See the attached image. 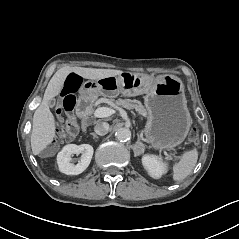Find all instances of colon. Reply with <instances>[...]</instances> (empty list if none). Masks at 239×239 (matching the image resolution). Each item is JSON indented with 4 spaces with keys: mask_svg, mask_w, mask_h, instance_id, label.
<instances>
[{
    "mask_svg": "<svg viewBox=\"0 0 239 239\" xmlns=\"http://www.w3.org/2000/svg\"><path fill=\"white\" fill-rule=\"evenodd\" d=\"M82 79L75 74H70L64 84L62 91L63 103L59 109V129L56 135L57 142H63L74 137L78 131L73 112L76 107L75 93L81 85ZM191 143H196L198 139L196 129L192 128L188 133Z\"/></svg>",
    "mask_w": 239,
    "mask_h": 239,
    "instance_id": "obj_1",
    "label": "colon"
}]
</instances>
